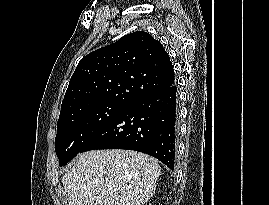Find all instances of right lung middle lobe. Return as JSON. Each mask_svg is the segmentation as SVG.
Wrapping results in <instances>:
<instances>
[{
    "mask_svg": "<svg viewBox=\"0 0 269 205\" xmlns=\"http://www.w3.org/2000/svg\"><path fill=\"white\" fill-rule=\"evenodd\" d=\"M128 104L102 102L76 110L58 120L55 151L66 165Z\"/></svg>",
    "mask_w": 269,
    "mask_h": 205,
    "instance_id": "obj_1",
    "label": "right lung middle lobe"
}]
</instances>
